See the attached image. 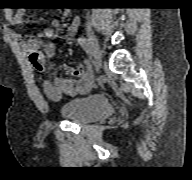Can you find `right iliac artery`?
Listing matches in <instances>:
<instances>
[{
    "label": "right iliac artery",
    "instance_id": "1",
    "mask_svg": "<svg viewBox=\"0 0 192 180\" xmlns=\"http://www.w3.org/2000/svg\"><path fill=\"white\" fill-rule=\"evenodd\" d=\"M78 43L81 45L83 50L88 54V56L91 58L92 57V48L90 41L85 38V37H79L78 38Z\"/></svg>",
    "mask_w": 192,
    "mask_h": 180
}]
</instances>
